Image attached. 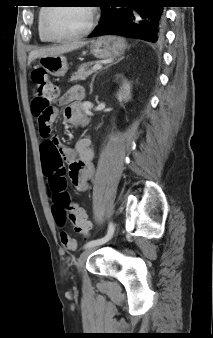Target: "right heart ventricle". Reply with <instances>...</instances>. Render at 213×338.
I'll return each instance as SVG.
<instances>
[{
  "instance_id": "obj_1",
  "label": "right heart ventricle",
  "mask_w": 213,
  "mask_h": 338,
  "mask_svg": "<svg viewBox=\"0 0 213 338\" xmlns=\"http://www.w3.org/2000/svg\"><path fill=\"white\" fill-rule=\"evenodd\" d=\"M48 8V5H44V6H41L40 9H39V12H38V34H39V37L40 39L43 41V42H48L49 40L44 36L43 32H42V20H43V16L46 12Z\"/></svg>"
}]
</instances>
